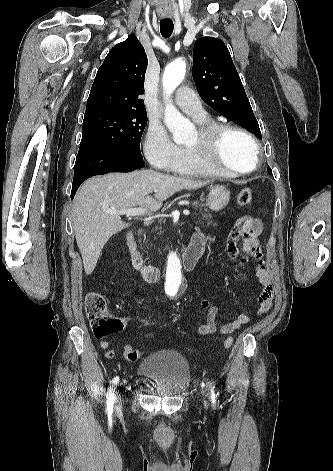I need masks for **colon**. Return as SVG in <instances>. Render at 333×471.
Here are the masks:
<instances>
[{"label": "colon", "instance_id": "colon-1", "mask_svg": "<svg viewBox=\"0 0 333 471\" xmlns=\"http://www.w3.org/2000/svg\"><path fill=\"white\" fill-rule=\"evenodd\" d=\"M251 200L252 192L249 188H244L238 194L237 203L240 206H247ZM85 311L91 330L98 339L118 333L124 329V320L109 312L106 299L101 293L91 292L87 294L85 298ZM233 341L232 336L227 337L223 348L229 349ZM123 354L128 361H137L141 357V352L130 345L124 347Z\"/></svg>", "mask_w": 333, "mask_h": 471}]
</instances>
